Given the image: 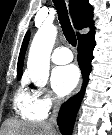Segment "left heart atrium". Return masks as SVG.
<instances>
[{
  "instance_id": "1",
  "label": "left heart atrium",
  "mask_w": 112,
  "mask_h": 135,
  "mask_svg": "<svg viewBox=\"0 0 112 135\" xmlns=\"http://www.w3.org/2000/svg\"><path fill=\"white\" fill-rule=\"evenodd\" d=\"M79 80V72L74 65L57 66L51 73V85L58 96L70 93Z\"/></svg>"
}]
</instances>
